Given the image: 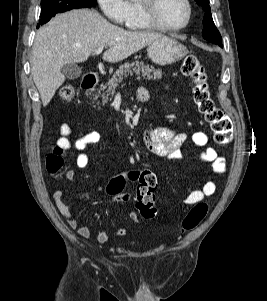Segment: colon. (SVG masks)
Instances as JSON below:
<instances>
[{
    "mask_svg": "<svg viewBox=\"0 0 267 301\" xmlns=\"http://www.w3.org/2000/svg\"><path fill=\"white\" fill-rule=\"evenodd\" d=\"M182 73L194 81V100L199 112L204 116L213 132L214 141L222 146L229 144L233 137L232 123L227 115L216 106L208 88L204 67L199 59L193 55L185 57L182 64ZM59 95L64 101H71L75 97L73 85L61 87ZM64 163L62 149L55 148L46 158V168L50 173H57ZM131 183H137L135 206L146 219H152L156 214L154 206V192L157 187L156 175L148 169H134L112 177L105 186V193L115 200ZM208 212L206 203H198L186 214L181 223L182 231L196 228Z\"/></svg>",
    "mask_w": 267,
    "mask_h": 301,
    "instance_id": "1",
    "label": "colon"
}]
</instances>
